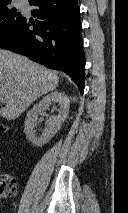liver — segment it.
<instances>
[{
    "label": "liver",
    "mask_w": 128,
    "mask_h": 213,
    "mask_svg": "<svg viewBox=\"0 0 128 213\" xmlns=\"http://www.w3.org/2000/svg\"><path fill=\"white\" fill-rule=\"evenodd\" d=\"M58 81L54 71L0 49V99L5 103L0 115L8 120L16 119L38 97L54 90Z\"/></svg>",
    "instance_id": "1"
}]
</instances>
